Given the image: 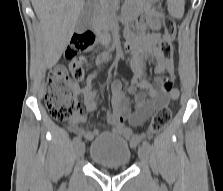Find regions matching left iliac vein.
Instances as JSON below:
<instances>
[{"label": "left iliac vein", "mask_w": 223, "mask_h": 191, "mask_svg": "<svg viewBox=\"0 0 223 191\" xmlns=\"http://www.w3.org/2000/svg\"><path fill=\"white\" fill-rule=\"evenodd\" d=\"M138 156H139V159H140V161L142 163L148 164V162H149V153H148V150L144 146H141L139 148Z\"/></svg>", "instance_id": "left-iliac-vein-1"}]
</instances>
